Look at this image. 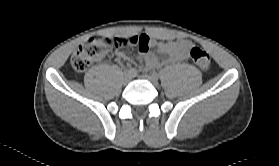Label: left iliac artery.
Here are the masks:
<instances>
[{
    "instance_id": "44dca946",
    "label": "left iliac artery",
    "mask_w": 279,
    "mask_h": 166,
    "mask_svg": "<svg viewBox=\"0 0 279 166\" xmlns=\"http://www.w3.org/2000/svg\"><path fill=\"white\" fill-rule=\"evenodd\" d=\"M152 75L159 77V74H157L156 72H154Z\"/></svg>"
}]
</instances>
